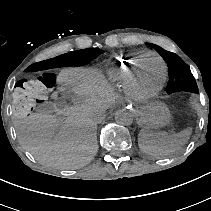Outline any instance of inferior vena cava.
Here are the masks:
<instances>
[{
    "label": "inferior vena cava",
    "mask_w": 211,
    "mask_h": 211,
    "mask_svg": "<svg viewBox=\"0 0 211 211\" xmlns=\"http://www.w3.org/2000/svg\"><path fill=\"white\" fill-rule=\"evenodd\" d=\"M101 119V116L100 117H98V121Z\"/></svg>",
    "instance_id": "obj_1"
}]
</instances>
